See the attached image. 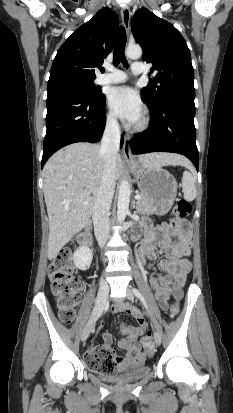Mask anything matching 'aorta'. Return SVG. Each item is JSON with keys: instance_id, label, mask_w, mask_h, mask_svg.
Here are the masks:
<instances>
[{"instance_id": "aorta-1", "label": "aorta", "mask_w": 233, "mask_h": 413, "mask_svg": "<svg viewBox=\"0 0 233 413\" xmlns=\"http://www.w3.org/2000/svg\"><path fill=\"white\" fill-rule=\"evenodd\" d=\"M126 56L130 59H138L142 56V49L138 45H130L127 47ZM130 185L127 180H123L119 187L118 203H117V219L123 222L129 211L130 202Z\"/></svg>"}]
</instances>
